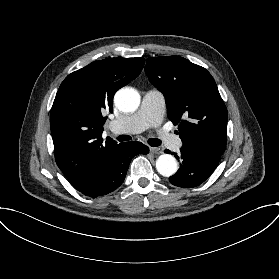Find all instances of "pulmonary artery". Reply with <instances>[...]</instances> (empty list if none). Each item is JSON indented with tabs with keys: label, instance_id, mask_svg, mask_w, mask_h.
<instances>
[{
	"label": "pulmonary artery",
	"instance_id": "pulmonary-artery-1",
	"mask_svg": "<svg viewBox=\"0 0 279 279\" xmlns=\"http://www.w3.org/2000/svg\"><path fill=\"white\" fill-rule=\"evenodd\" d=\"M165 98L161 90L152 88L148 90L141 102V107L135 115H119L112 122V129L119 136H135L151 126H156L161 119L164 110ZM158 139L161 143L172 147L177 139L167 131L159 134Z\"/></svg>",
	"mask_w": 279,
	"mask_h": 279
}]
</instances>
